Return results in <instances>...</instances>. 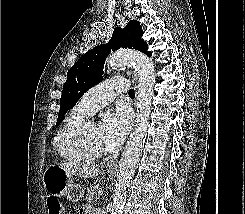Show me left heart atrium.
Listing matches in <instances>:
<instances>
[{"mask_svg":"<svg viewBox=\"0 0 245 214\" xmlns=\"http://www.w3.org/2000/svg\"><path fill=\"white\" fill-rule=\"evenodd\" d=\"M130 128V115L125 110L107 114L97 126L98 139L107 152L115 151L123 143Z\"/></svg>","mask_w":245,"mask_h":214,"instance_id":"1","label":"left heart atrium"}]
</instances>
